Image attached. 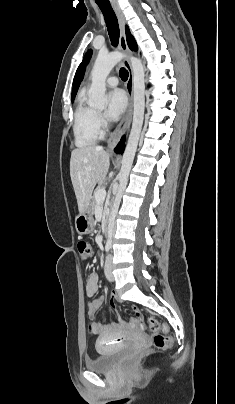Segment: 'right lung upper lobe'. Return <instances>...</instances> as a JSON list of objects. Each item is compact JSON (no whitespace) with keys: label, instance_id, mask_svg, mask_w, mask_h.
Returning <instances> with one entry per match:
<instances>
[{"label":"right lung upper lobe","instance_id":"cb5924a9","mask_svg":"<svg viewBox=\"0 0 235 404\" xmlns=\"http://www.w3.org/2000/svg\"><path fill=\"white\" fill-rule=\"evenodd\" d=\"M126 37H127L128 46L130 47V49H133V47H132V42H131L130 31H129V28H128L127 26H126ZM83 76H84V71H83L82 74L79 76L78 80L76 81V83H75V85H74V88H73V91H72V101H73L74 98H75V95H76V93H77V90H78V88H79V85H80V83H81V81H82V79H83Z\"/></svg>","mask_w":235,"mask_h":404}]
</instances>
